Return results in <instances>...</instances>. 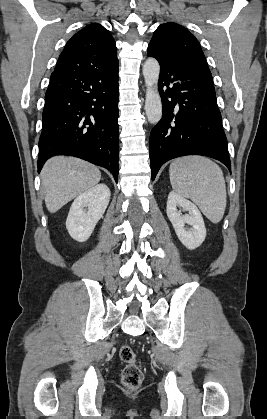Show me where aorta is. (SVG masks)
Returning <instances> with one entry per match:
<instances>
[{
	"label": "aorta",
	"mask_w": 267,
	"mask_h": 419,
	"mask_svg": "<svg viewBox=\"0 0 267 419\" xmlns=\"http://www.w3.org/2000/svg\"><path fill=\"white\" fill-rule=\"evenodd\" d=\"M160 66L155 58H148L143 65L146 85L145 111L151 124H157L162 117V102L158 91Z\"/></svg>",
	"instance_id": "762f6f07"
}]
</instances>
